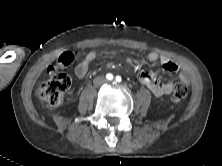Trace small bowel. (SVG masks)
Listing matches in <instances>:
<instances>
[{"label":"small bowel","mask_w":222,"mask_h":166,"mask_svg":"<svg viewBox=\"0 0 222 166\" xmlns=\"http://www.w3.org/2000/svg\"><path fill=\"white\" fill-rule=\"evenodd\" d=\"M98 55L99 53L97 51L88 52L85 55L84 59L76 65L74 70L75 75L80 79L84 78L92 62ZM147 59L150 62L159 61L166 72L178 73L180 81L186 85L188 84L189 80L187 75L180 70L179 66L174 61H172L168 57L159 55L156 52H150L147 55ZM138 79L142 84L146 85L156 97H161L163 95L171 93L173 88L172 82L160 81L158 77L149 70L140 71L138 73Z\"/></svg>","instance_id":"1"}]
</instances>
